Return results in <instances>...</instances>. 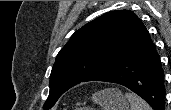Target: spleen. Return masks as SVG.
Returning <instances> with one entry per match:
<instances>
[{
	"label": "spleen",
	"instance_id": "1",
	"mask_svg": "<svg viewBox=\"0 0 171 110\" xmlns=\"http://www.w3.org/2000/svg\"><path fill=\"white\" fill-rule=\"evenodd\" d=\"M125 96L130 102L131 110H152L149 104H147V102H145L138 95L132 92H127L125 93Z\"/></svg>",
	"mask_w": 171,
	"mask_h": 110
}]
</instances>
